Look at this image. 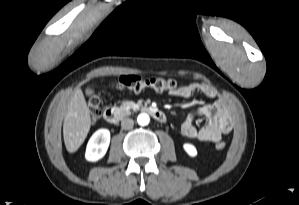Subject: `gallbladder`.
Returning <instances> with one entry per match:
<instances>
[{
	"instance_id": "bac80fb5",
	"label": "gallbladder",
	"mask_w": 299,
	"mask_h": 205,
	"mask_svg": "<svg viewBox=\"0 0 299 205\" xmlns=\"http://www.w3.org/2000/svg\"><path fill=\"white\" fill-rule=\"evenodd\" d=\"M85 93L87 96H91L94 94V90L91 87L86 88Z\"/></svg>"
}]
</instances>
